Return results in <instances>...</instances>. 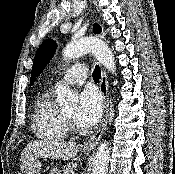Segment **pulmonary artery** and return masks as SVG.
<instances>
[{"label": "pulmonary artery", "mask_w": 175, "mask_h": 174, "mask_svg": "<svg viewBox=\"0 0 175 174\" xmlns=\"http://www.w3.org/2000/svg\"><path fill=\"white\" fill-rule=\"evenodd\" d=\"M87 76V68L83 64H76L69 68L64 74L62 81L65 84H81L84 82Z\"/></svg>", "instance_id": "obj_1"}]
</instances>
